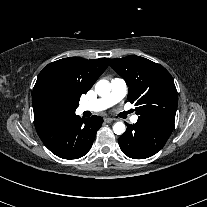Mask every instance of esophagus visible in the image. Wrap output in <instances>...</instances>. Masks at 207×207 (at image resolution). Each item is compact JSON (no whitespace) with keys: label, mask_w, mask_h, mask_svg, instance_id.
I'll return each instance as SVG.
<instances>
[{"label":"esophagus","mask_w":207,"mask_h":207,"mask_svg":"<svg viewBox=\"0 0 207 207\" xmlns=\"http://www.w3.org/2000/svg\"><path fill=\"white\" fill-rule=\"evenodd\" d=\"M113 120L109 117L104 118L105 123H111Z\"/></svg>","instance_id":"1"}]
</instances>
